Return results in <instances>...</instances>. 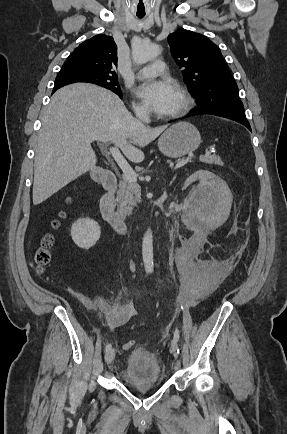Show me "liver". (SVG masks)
<instances>
[{
    "label": "liver",
    "instance_id": "obj_1",
    "mask_svg": "<svg viewBox=\"0 0 287 434\" xmlns=\"http://www.w3.org/2000/svg\"><path fill=\"white\" fill-rule=\"evenodd\" d=\"M165 127L151 128L134 118L113 92L72 84L54 93L42 114L34 159L33 204L38 205L84 173L95 169V140L117 144L132 162L137 148L154 141Z\"/></svg>",
    "mask_w": 287,
    "mask_h": 434
}]
</instances>
